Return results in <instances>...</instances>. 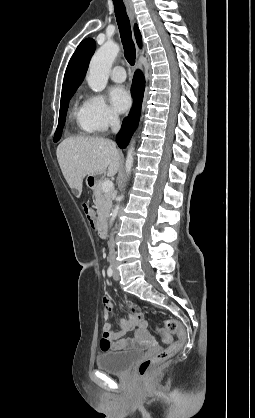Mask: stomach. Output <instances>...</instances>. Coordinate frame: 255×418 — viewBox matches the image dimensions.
Here are the masks:
<instances>
[{
  "instance_id": "1",
  "label": "stomach",
  "mask_w": 255,
  "mask_h": 418,
  "mask_svg": "<svg viewBox=\"0 0 255 418\" xmlns=\"http://www.w3.org/2000/svg\"><path fill=\"white\" fill-rule=\"evenodd\" d=\"M86 184L88 187L94 189L98 184L97 175H89L86 179Z\"/></svg>"
}]
</instances>
